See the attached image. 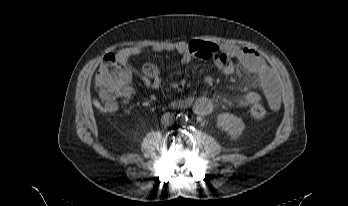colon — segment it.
<instances>
[{
	"label": "colon",
	"instance_id": "1",
	"mask_svg": "<svg viewBox=\"0 0 348 206\" xmlns=\"http://www.w3.org/2000/svg\"><path fill=\"white\" fill-rule=\"evenodd\" d=\"M144 70L148 75L156 74L153 65H146ZM131 80V70L115 54H108L103 58L96 76V85L106 112L113 113L118 108L120 99L129 96ZM250 115L255 120H262L266 116V110L260 104H255L250 109Z\"/></svg>",
	"mask_w": 348,
	"mask_h": 206
}]
</instances>
